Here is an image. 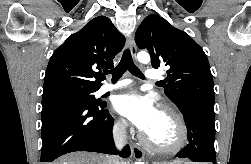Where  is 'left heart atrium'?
Instances as JSON below:
<instances>
[{
    "label": "left heart atrium",
    "mask_w": 251,
    "mask_h": 164,
    "mask_svg": "<svg viewBox=\"0 0 251 164\" xmlns=\"http://www.w3.org/2000/svg\"><path fill=\"white\" fill-rule=\"evenodd\" d=\"M114 108L117 113L127 118L146 134L151 131L159 115V110L152 100L136 90L117 96Z\"/></svg>",
    "instance_id": "obj_1"
}]
</instances>
